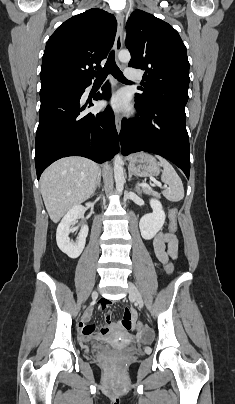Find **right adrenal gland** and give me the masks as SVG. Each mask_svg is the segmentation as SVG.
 Returning a JSON list of instances; mask_svg holds the SVG:
<instances>
[{
  "label": "right adrenal gland",
  "mask_w": 235,
  "mask_h": 404,
  "mask_svg": "<svg viewBox=\"0 0 235 404\" xmlns=\"http://www.w3.org/2000/svg\"><path fill=\"white\" fill-rule=\"evenodd\" d=\"M100 187H101V175L98 176V179H97L96 186H95L93 194L95 193L97 188H100Z\"/></svg>",
  "instance_id": "obj_1"
}]
</instances>
